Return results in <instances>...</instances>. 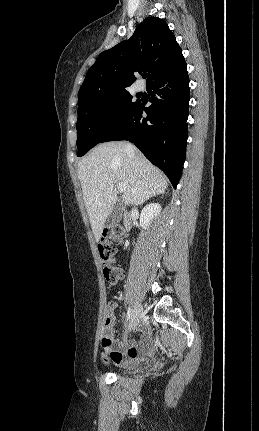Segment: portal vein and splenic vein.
<instances>
[{
	"mask_svg": "<svg viewBox=\"0 0 259 431\" xmlns=\"http://www.w3.org/2000/svg\"><path fill=\"white\" fill-rule=\"evenodd\" d=\"M117 189H118L120 192H124V191L126 190V186H125V184H123V183L119 182V183H117Z\"/></svg>",
	"mask_w": 259,
	"mask_h": 431,
	"instance_id": "18ae733b",
	"label": "portal vein and splenic vein"
}]
</instances>
